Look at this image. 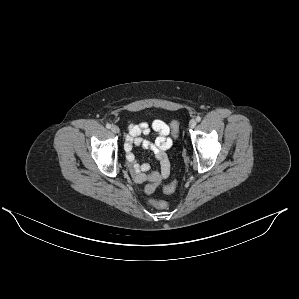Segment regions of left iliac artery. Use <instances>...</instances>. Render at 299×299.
I'll return each instance as SVG.
<instances>
[{"instance_id": "obj_1", "label": "left iliac artery", "mask_w": 299, "mask_h": 299, "mask_svg": "<svg viewBox=\"0 0 299 299\" xmlns=\"http://www.w3.org/2000/svg\"><path fill=\"white\" fill-rule=\"evenodd\" d=\"M196 121H197V122H200V121H201V117H200V116H197V117H196Z\"/></svg>"}]
</instances>
